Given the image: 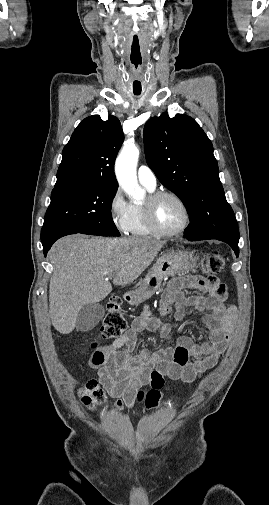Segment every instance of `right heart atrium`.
<instances>
[{"instance_id": "obj_1", "label": "right heart atrium", "mask_w": 269, "mask_h": 505, "mask_svg": "<svg viewBox=\"0 0 269 505\" xmlns=\"http://www.w3.org/2000/svg\"><path fill=\"white\" fill-rule=\"evenodd\" d=\"M108 213L114 227L121 232H126L130 220V204L119 187L109 199Z\"/></svg>"}]
</instances>
